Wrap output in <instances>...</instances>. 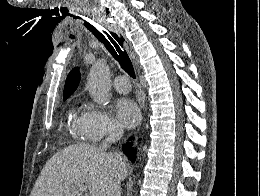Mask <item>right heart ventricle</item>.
Segmentation results:
<instances>
[{
    "label": "right heart ventricle",
    "mask_w": 260,
    "mask_h": 196,
    "mask_svg": "<svg viewBox=\"0 0 260 196\" xmlns=\"http://www.w3.org/2000/svg\"><path fill=\"white\" fill-rule=\"evenodd\" d=\"M77 120H75V122L77 123ZM80 143H84V142H80ZM50 192H73L72 190H50Z\"/></svg>",
    "instance_id": "1"
}]
</instances>
